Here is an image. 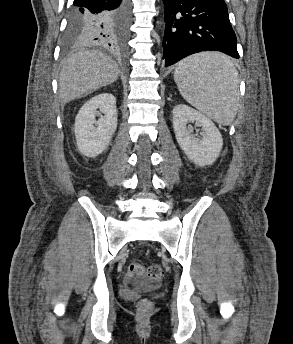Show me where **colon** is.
<instances>
[{
  "label": "colon",
  "mask_w": 293,
  "mask_h": 344,
  "mask_svg": "<svg viewBox=\"0 0 293 344\" xmlns=\"http://www.w3.org/2000/svg\"><path fill=\"white\" fill-rule=\"evenodd\" d=\"M126 274L130 275L132 278L147 277L150 280L158 281L163 276V268L159 263H152L147 267L140 263H131ZM136 307L140 314H147L152 310V303L149 300L142 299L138 301Z\"/></svg>",
  "instance_id": "1"
}]
</instances>
